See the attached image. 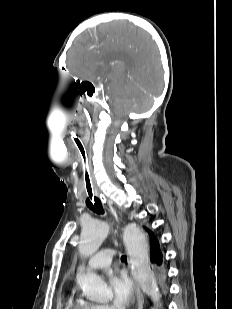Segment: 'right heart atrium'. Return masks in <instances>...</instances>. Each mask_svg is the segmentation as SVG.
<instances>
[{
  "instance_id": "obj_1",
  "label": "right heart atrium",
  "mask_w": 232,
  "mask_h": 309,
  "mask_svg": "<svg viewBox=\"0 0 232 309\" xmlns=\"http://www.w3.org/2000/svg\"><path fill=\"white\" fill-rule=\"evenodd\" d=\"M96 309H112V308L106 304H97Z\"/></svg>"
}]
</instances>
